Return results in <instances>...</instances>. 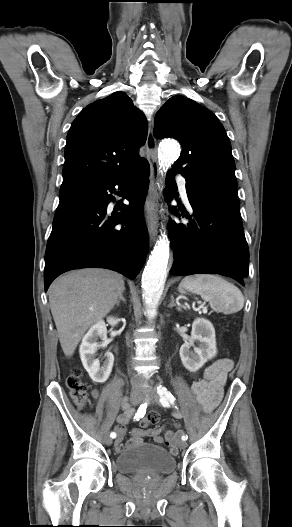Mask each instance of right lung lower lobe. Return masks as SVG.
Here are the masks:
<instances>
[{
	"instance_id": "right-lung-lower-lobe-1",
	"label": "right lung lower lobe",
	"mask_w": 292,
	"mask_h": 527,
	"mask_svg": "<svg viewBox=\"0 0 292 527\" xmlns=\"http://www.w3.org/2000/svg\"><path fill=\"white\" fill-rule=\"evenodd\" d=\"M149 164L107 182H63L60 202L45 253L47 291L60 274L80 268L115 270L134 279L148 251L143 206L149 184ZM125 192L129 205L121 212L107 211L115 186Z\"/></svg>"
}]
</instances>
